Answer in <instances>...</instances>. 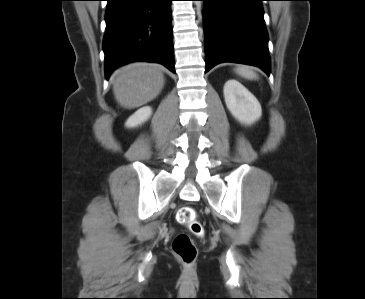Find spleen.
Returning <instances> with one entry per match:
<instances>
[{
	"instance_id": "obj_1",
	"label": "spleen",
	"mask_w": 365,
	"mask_h": 299,
	"mask_svg": "<svg viewBox=\"0 0 365 299\" xmlns=\"http://www.w3.org/2000/svg\"><path fill=\"white\" fill-rule=\"evenodd\" d=\"M236 73L238 75H240L241 77L249 79V80H253V79L257 78V74L254 71H252L248 66H244V65L239 66L236 69Z\"/></svg>"
}]
</instances>
